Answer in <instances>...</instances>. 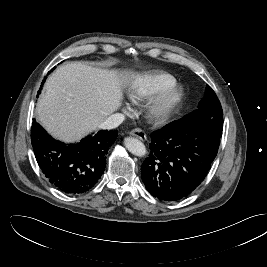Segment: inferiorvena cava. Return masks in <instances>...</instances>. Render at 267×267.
Segmentation results:
<instances>
[{"label": "inferior vena cava", "instance_id": "inferior-vena-cava-1", "mask_svg": "<svg viewBox=\"0 0 267 267\" xmlns=\"http://www.w3.org/2000/svg\"><path fill=\"white\" fill-rule=\"evenodd\" d=\"M124 119L125 117L121 113L112 114L99 125V128L104 130L114 129L118 127L124 121Z\"/></svg>", "mask_w": 267, "mask_h": 267}]
</instances>
